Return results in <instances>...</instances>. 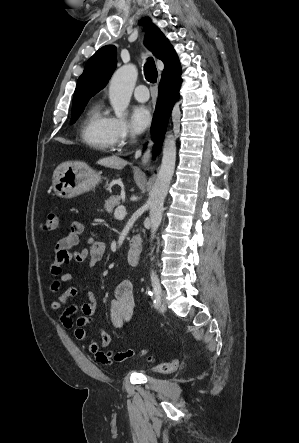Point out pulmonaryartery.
I'll use <instances>...</instances> for the list:
<instances>
[{"label": "pulmonary artery", "instance_id": "1", "mask_svg": "<svg viewBox=\"0 0 299 443\" xmlns=\"http://www.w3.org/2000/svg\"><path fill=\"white\" fill-rule=\"evenodd\" d=\"M134 97L139 102H146L149 99V92L144 84L136 86L134 90Z\"/></svg>", "mask_w": 299, "mask_h": 443}]
</instances>
